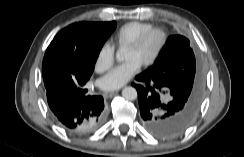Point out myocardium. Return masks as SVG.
I'll return each instance as SVG.
<instances>
[{
    "instance_id": "f54148a6",
    "label": "myocardium",
    "mask_w": 244,
    "mask_h": 157,
    "mask_svg": "<svg viewBox=\"0 0 244 157\" xmlns=\"http://www.w3.org/2000/svg\"><path fill=\"white\" fill-rule=\"evenodd\" d=\"M153 34H159L161 36V42L154 55L142 64L144 68L154 65L159 60L169 41L168 32L163 28L154 27L140 34L134 41H132L127 46V48L130 49H138Z\"/></svg>"
}]
</instances>
